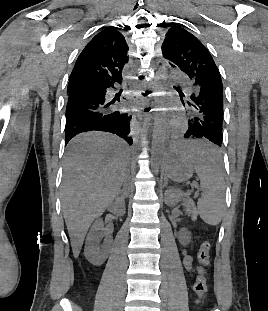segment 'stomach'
I'll use <instances>...</instances> for the list:
<instances>
[{
	"label": "stomach",
	"mask_w": 268,
	"mask_h": 311,
	"mask_svg": "<svg viewBox=\"0 0 268 311\" xmlns=\"http://www.w3.org/2000/svg\"><path fill=\"white\" fill-rule=\"evenodd\" d=\"M190 148L173 146L169 150L164 161L165 174L169 179L184 182L193 176L194 164Z\"/></svg>",
	"instance_id": "0dacf381"
}]
</instances>
